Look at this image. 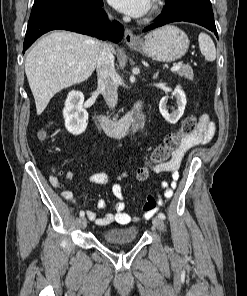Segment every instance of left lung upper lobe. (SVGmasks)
<instances>
[{
	"mask_svg": "<svg viewBox=\"0 0 247 296\" xmlns=\"http://www.w3.org/2000/svg\"><path fill=\"white\" fill-rule=\"evenodd\" d=\"M170 1L176 2V1H179V0H170Z\"/></svg>",
	"mask_w": 247,
	"mask_h": 296,
	"instance_id": "1",
	"label": "left lung upper lobe"
}]
</instances>
